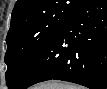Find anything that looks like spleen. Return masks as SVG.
Masks as SVG:
<instances>
[{"label": "spleen", "mask_w": 107, "mask_h": 89, "mask_svg": "<svg viewBox=\"0 0 107 89\" xmlns=\"http://www.w3.org/2000/svg\"><path fill=\"white\" fill-rule=\"evenodd\" d=\"M59 89H82V87L77 85L62 84Z\"/></svg>", "instance_id": "3e777b00"}]
</instances>
